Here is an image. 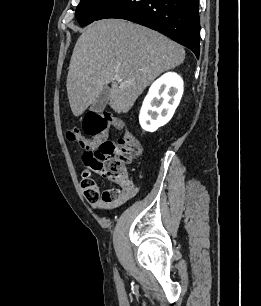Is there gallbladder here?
<instances>
[{"label": "gallbladder", "mask_w": 261, "mask_h": 306, "mask_svg": "<svg viewBox=\"0 0 261 306\" xmlns=\"http://www.w3.org/2000/svg\"><path fill=\"white\" fill-rule=\"evenodd\" d=\"M110 100V88L105 86L96 100L92 103L90 109L95 113H101Z\"/></svg>", "instance_id": "gallbladder-1"}]
</instances>
